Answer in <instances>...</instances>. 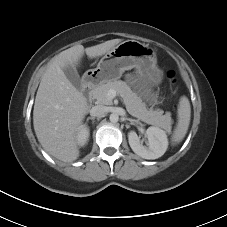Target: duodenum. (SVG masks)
<instances>
[{
    "label": "duodenum",
    "mask_w": 227,
    "mask_h": 227,
    "mask_svg": "<svg viewBox=\"0 0 227 227\" xmlns=\"http://www.w3.org/2000/svg\"><path fill=\"white\" fill-rule=\"evenodd\" d=\"M95 81L92 77H86L83 80L82 89L85 98L88 100L92 89L94 88Z\"/></svg>",
    "instance_id": "1"
}]
</instances>
